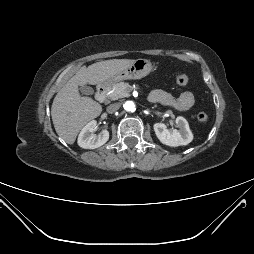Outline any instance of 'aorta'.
<instances>
[{"instance_id": "1", "label": "aorta", "mask_w": 254, "mask_h": 254, "mask_svg": "<svg viewBox=\"0 0 254 254\" xmlns=\"http://www.w3.org/2000/svg\"><path fill=\"white\" fill-rule=\"evenodd\" d=\"M124 109H125L126 111H131V112H133V111L135 110V104H134V102H132V101H127V102H125V103H124Z\"/></svg>"}]
</instances>
